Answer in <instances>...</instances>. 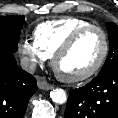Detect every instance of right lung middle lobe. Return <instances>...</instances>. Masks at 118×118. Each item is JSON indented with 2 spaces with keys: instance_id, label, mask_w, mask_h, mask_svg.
<instances>
[{
  "instance_id": "right-lung-middle-lobe-1",
  "label": "right lung middle lobe",
  "mask_w": 118,
  "mask_h": 118,
  "mask_svg": "<svg viewBox=\"0 0 118 118\" xmlns=\"http://www.w3.org/2000/svg\"><path fill=\"white\" fill-rule=\"evenodd\" d=\"M24 22L21 15L0 17V50L16 52Z\"/></svg>"
}]
</instances>
